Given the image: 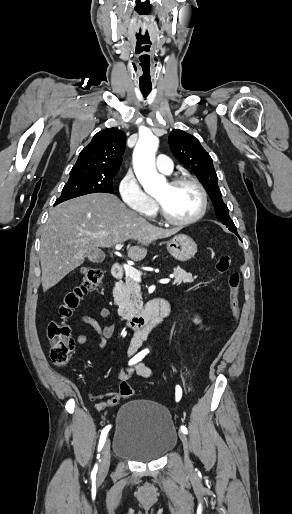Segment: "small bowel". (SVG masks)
I'll return each instance as SVG.
<instances>
[{"label": "small bowel", "mask_w": 292, "mask_h": 514, "mask_svg": "<svg viewBox=\"0 0 292 514\" xmlns=\"http://www.w3.org/2000/svg\"><path fill=\"white\" fill-rule=\"evenodd\" d=\"M110 315V311L108 308L103 307L100 310V316L103 320L107 319ZM79 321L82 324L88 325L95 329L99 334V341L97 342V345L99 347L105 346L106 342L114 335L115 327L113 325H101L99 321L89 315H84L79 318ZM75 341L79 345H86L91 342V339L88 335L84 333H77L75 335ZM138 375L143 378H151L154 376L153 371L145 366L142 363H139L135 365L133 368L129 370H125L123 367H121L118 371V378L122 383H126L127 381L133 376ZM105 396V397H103ZM102 395H99L97 397V400L99 401V404L105 405V406H117L119 404L120 397L122 396V393L120 391H109L106 395V393H103ZM89 400L91 402H94L96 400V397L94 395H91L89 397Z\"/></svg>", "instance_id": "obj_1"}]
</instances>
